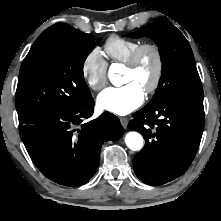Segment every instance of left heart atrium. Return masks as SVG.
I'll list each match as a JSON object with an SVG mask.
<instances>
[{
    "label": "left heart atrium",
    "instance_id": "left-heart-atrium-1",
    "mask_svg": "<svg viewBox=\"0 0 221 221\" xmlns=\"http://www.w3.org/2000/svg\"><path fill=\"white\" fill-rule=\"evenodd\" d=\"M144 101V90L135 82L120 87H108L97 97L100 109L117 115H126Z\"/></svg>",
    "mask_w": 221,
    "mask_h": 221
}]
</instances>
